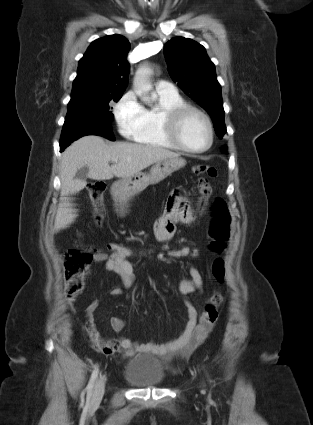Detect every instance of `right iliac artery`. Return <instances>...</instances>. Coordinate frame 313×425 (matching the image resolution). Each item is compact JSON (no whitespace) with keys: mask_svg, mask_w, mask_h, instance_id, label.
<instances>
[{"mask_svg":"<svg viewBox=\"0 0 313 425\" xmlns=\"http://www.w3.org/2000/svg\"><path fill=\"white\" fill-rule=\"evenodd\" d=\"M98 373H99V368L97 366L93 370V372L91 374V377H90V380H89V383H88V385L86 387V391H87V402H89V400H90V398L92 396L93 386H94V383H95L96 378L98 377Z\"/></svg>","mask_w":313,"mask_h":425,"instance_id":"82829eb1","label":"right iliac artery"}]
</instances>
